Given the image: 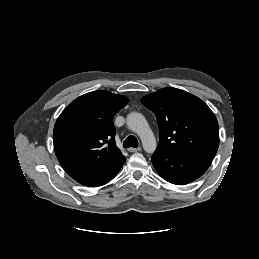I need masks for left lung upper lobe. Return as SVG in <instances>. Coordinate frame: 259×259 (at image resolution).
<instances>
[{"instance_id": "5c2ea615", "label": "left lung upper lobe", "mask_w": 259, "mask_h": 259, "mask_svg": "<svg viewBox=\"0 0 259 259\" xmlns=\"http://www.w3.org/2000/svg\"><path fill=\"white\" fill-rule=\"evenodd\" d=\"M159 126V144L174 155L213 159L219 146L218 122L198 97L177 88H163L141 99Z\"/></svg>"}]
</instances>
